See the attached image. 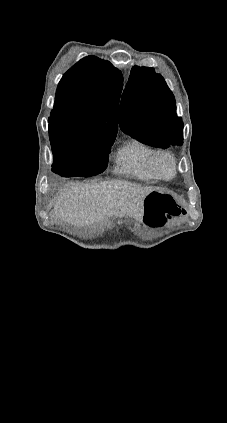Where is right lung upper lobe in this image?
I'll return each mask as SVG.
<instances>
[{"instance_id":"obj_1","label":"right lung upper lobe","mask_w":227,"mask_h":423,"mask_svg":"<svg viewBox=\"0 0 227 423\" xmlns=\"http://www.w3.org/2000/svg\"><path fill=\"white\" fill-rule=\"evenodd\" d=\"M123 76L108 61L88 56L61 79L49 118L50 142L116 137Z\"/></svg>"}]
</instances>
